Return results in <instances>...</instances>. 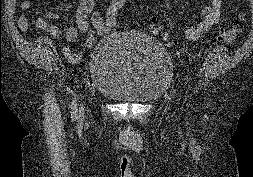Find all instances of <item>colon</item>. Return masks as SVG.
I'll return each mask as SVG.
<instances>
[{
	"label": "colon",
	"instance_id": "5ec220e1",
	"mask_svg": "<svg viewBox=\"0 0 253 177\" xmlns=\"http://www.w3.org/2000/svg\"><path fill=\"white\" fill-rule=\"evenodd\" d=\"M129 0H110L108 1L104 11H103V27L105 36L109 35L117 25L118 19L121 13L124 11L128 5ZM246 14L240 13L234 24L227 29H222L217 34L214 35L213 41L219 42L225 45L233 43L239 34L242 32L244 24L246 22ZM154 32L161 34L165 40L169 39L167 33L162 32L157 26H152Z\"/></svg>",
	"mask_w": 253,
	"mask_h": 177
}]
</instances>
